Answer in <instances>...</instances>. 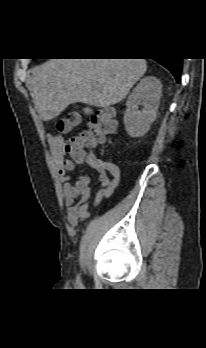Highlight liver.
<instances>
[{
    "label": "liver",
    "mask_w": 206,
    "mask_h": 348,
    "mask_svg": "<svg viewBox=\"0 0 206 348\" xmlns=\"http://www.w3.org/2000/svg\"><path fill=\"white\" fill-rule=\"evenodd\" d=\"M146 70L145 59H49L34 69L30 91L41 118L49 121L72 103H119Z\"/></svg>",
    "instance_id": "1"
}]
</instances>
